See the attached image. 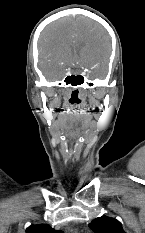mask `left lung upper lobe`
I'll use <instances>...</instances> for the list:
<instances>
[{"instance_id": "obj_1", "label": "left lung upper lobe", "mask_w": 145, "mask_h": 233, "mask_svg": "<svg viewBox=\"0 0 145 233\" xmlns=\"http://www.w3.org/2000/svg\"><path fill=\"white\" fill-rule=\"evenodd\" d=\"M89 227L95 233H125L122 224L118 220L107 216L94 219Z\"/></svg>"}]
</instances>
